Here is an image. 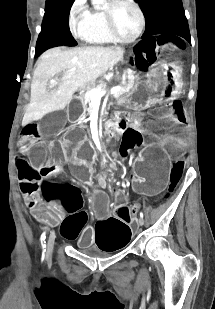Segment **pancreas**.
<instances>
[{
	"instance_id": "obj_1",
	"label": "pancreas",
	"mask_w": 215,
	"mask_h": 309,
	"mask_svg": "<svg viewBox=\"0 0 215 309\" xmlns=\"http://www.w3.org/2000/svg\"><path fill=\"white\" fill-rule=\"evenodd\" d=\"M131 74H135V70H132ZM120 84L121 86H123V90H125V88H128V86L132 88V86H134V78H126V80H120ZM105 86H107V82H105V80H98V84H91V86L87 88V92H89V90H93V88H100V90H102V88H105ZM124 94L125 92H122V94H119V96H115L116 104H123V102H125ZM80 96L84 98V110L86 114H91L94 108L91 96H89V94H86V92H81ZM85 98H88L86 102Z\"/></svg>"
}]
</instances>
